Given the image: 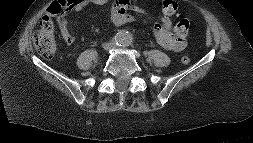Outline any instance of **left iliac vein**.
I'll return each mask as SVG.
<instances>
[{
	"label": "left iliac vein",
	"mask_w": 253,
	"mask_h": 143,
	"mask_svg": "<svg viewBox=\"0 0 253 143\" xmlns=\"http://www.w3.org/2000/svg\"><path fill=\"white\" fill-rule=\"evenodd\" d=\"M112 47H113V48H116V45H115V44H112Z\"/></svg>",
	"instance_id": "1"
}]
</instances>
